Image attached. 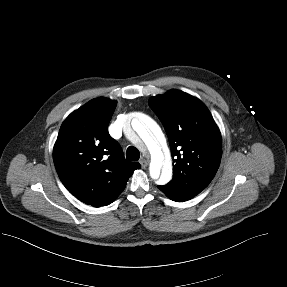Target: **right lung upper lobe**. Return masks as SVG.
Instances as JSON below:
<instances>
[{
    "label": "right lung upper lobe",
    "mask_w": 287,
    "mask_h": 287,
    "mask_svg": "<svg viewBox=\"0 0 287 287\" xmlns=\"http://www.w3.org/2000/svg\"><path fill=\"white\" fill-rule=\"evenodd\" d=\"M117 102L96 98L72 112L61 125L53 149L58 176L66 189L93 207L112 203L141 166L125 160L108 133Z\"/></svg>",
    "instance_id": "cb5924a9"
}]
</instances>
